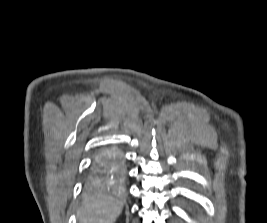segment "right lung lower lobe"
Masks as SVG:
<instances>
[{
  "instance_id": "obj_1",
  "label": "right lung lower lobe",
  "mask_w": 267,
  "mask_h": 223,
  "mask_svg": "<svg viewBox=\"0 0 267 223\" xmlns=\"http://www.w3.org/2000/svg\"><path fill=\"white\" fill-rule=\"evenodd\" d=\"M126 180L125 160L116 148L101 150L94 158L88 186L91 188H119Z\"/></svg>"
}]
</instances>
